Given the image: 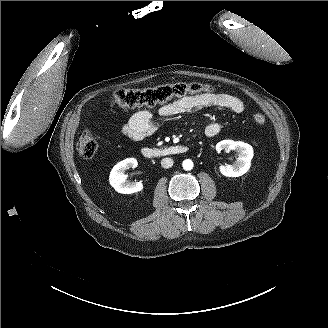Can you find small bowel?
Returning <instances> with one entry per match:
<instances>
[{
	"label": "small bowel",
	"mask_w": 328,
	"mask_h": 328,
	"mask_svg": "<svg viewBox=\"0 0 328 328\" xmlns=\"http://www.w3.org/2000/svg\"><path fill=\"white\" fill-rule=\"evenodd\" d=\"M212 107L228 109L237 114L242 113L245 109L243 101L236 96L226 93H204L173 100L161 106L157 115L171 117L183 113L199 112ZM156 130V115L149 110L135 112L120 128L121 133L133 141H140L152 135ZM220 132L221 125L217 122H211L205 128V134L208 137H215Z\"/></svg>",
	"instance_id": "small-bowel-1"
}]
</instances>
